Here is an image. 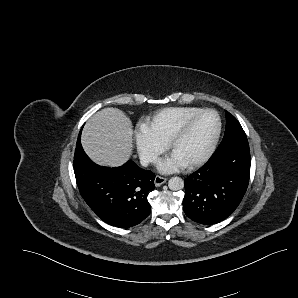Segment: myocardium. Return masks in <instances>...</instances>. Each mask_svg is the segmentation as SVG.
I'll return each mask as SVG.
<instances>
[{
    "mask_svg": "<svg viewBox=\"0 0 298 298\" xmlns=\"http://www.w3.org/2000/svg\"><path fill=\"white\" fill-rule=\"evenodd\" d=\"M205 114H210L214 117L215 123H216L215 133H214L212 139L207 144L204 151L197 158H195L194 160H192L191 162L186 164L187 167H194V166H197V165L203 163L204 161H206L208 159L212 150L214 149V147L219 139L220 130H221V123H220V119H219L217 113L212 110H209V109H202V110L192 114L191 116L187 117L186 119L181 121L179 124H177L166 138V141L168 144V151L170 152L173 145L181 137V135L186 131V129L192 124V122L195 121L198 117L205 115Z\"/></svg>",
    "mask_w": 298,
    "mask_h": 298,
    "instance_id": "f54148a6",
    "label": "myocardium"
}]
</instances>
